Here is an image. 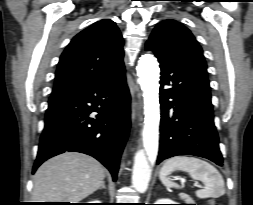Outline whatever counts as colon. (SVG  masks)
<instances>
[{
    "label": "colon",
    "instance_id": "colon-1",
    "mask_svg": "<svg viewBox=\"0 0 253 205\" xmlns=\"http://www.w3.org/2000/svg\"><path fill=\"white\" fill-rule=\"evenodd\" d=\"M209 205H216V204H215L214 202L211 201V202L209 203Z\"/></svg>",
    "mask_w": 253,
    "mask_h": 205
}]
</instances>
